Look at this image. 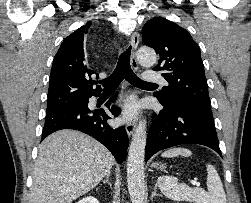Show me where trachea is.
Wrapping results in <instances>:
<instances>
[{
    "instance_id": "obj_1",
    "label": "trachea",
    "mask_w": 251,
    "mask_h": 203,
    "mask_svg": "<svg viewBox=\"0 0 251 203\" xmlns=\"http://www.w3.org/2000/svg\"><path fill=\"white\" fill-rule=\"evenodd\" d=\"M131 46L127 48L119 58L117 66L113 73L99 83L104 86V90H115L123 79L134 86H154L156 84L144 82L135 75L130 66Z\"/></svg>"
}]
</instances>
